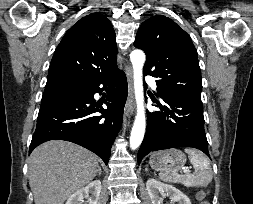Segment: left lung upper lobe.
<instances>
[{
	"label": "left lung upper lobe",
	"instance_id": "1",
	"mask_svg": "<svg viewBox=\"0 0 253 204\" xmlns=\"http://www.w3.org/2000/svg\"><path fill=\"white\" fill-rule=\"evenodd\" d=\"M134 46L146 53L143 72L157 78L159 95L200 96L197 51L190 36L172 19L156 15L144 21Z\"/></svg>",
	"mask_w": 253,
	"mask_h": 204
}]
</instances>
